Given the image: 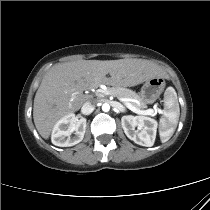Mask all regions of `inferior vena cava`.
Masks as SVG:
<instances>
[{"instance_id": "obj_1", "label": "inferior vena cava", "mask_w": 210, "mask_h": 210, "mask_svg": "<svg viewBox=\"0 0 210 210\" xmlns=\"http://www.w3.org/2000/svg\"><path fill=\"white\" fill-rule=\"evenodd\" d=\"M96 103L97 102L95 100L86 101L82 106V112L86 115L92 113L95 109Z\"/></svg>"}]
</instances>
